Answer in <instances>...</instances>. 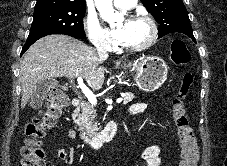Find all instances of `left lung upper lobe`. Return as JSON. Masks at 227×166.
Masks as SVG:
<instances>
[{
    "mask_svg": "<svg viewBox=\"0 0 227 166\" xmlns=\"http://www.w3.org/2000/svg\"><path fill=\"white\" fill-rule=\"evenodd\" d=\"M160 24L159 38L174 32L193 34L188 12L182 0H141Z\"/></svg>",
    "mask_w": 227,
    "mask_h": 166,
    "instance_id": "obj_1",
    "label": "left lung upper lobe"
}]
</instances>
